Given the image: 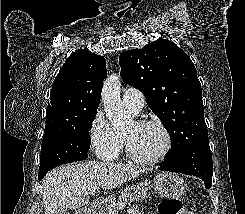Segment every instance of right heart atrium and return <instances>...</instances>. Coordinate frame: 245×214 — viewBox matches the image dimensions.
<instances>
[{
    "label": "right heart atrium",
    "instance_id": "right-heart-atrium-1",
    "mask_svg": "<svg viewBox=\"0 0 245 214\" xmlns=\"http://www.w3.org/2000/svg\"><path fill=\"white\" fill-rule=\"evenodd\" d=\"M89 140L93 152L102 161L114 160L123 145L122 136L102 111H97L90 123Z\"/></svg>",
    "mask_w": 245,
    "mask_h": 214
}]
</instances>
